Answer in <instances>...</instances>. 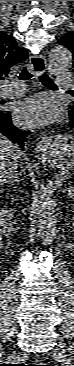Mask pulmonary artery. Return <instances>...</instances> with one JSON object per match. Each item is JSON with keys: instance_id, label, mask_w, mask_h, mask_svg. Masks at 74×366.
I'll return each instance as SVG.
<instances>
[{"instance_id": "obj_1", "label": "pulmonary artery", "mask_w": 74, "mask_h": 366, "mask_svg": "<svg viewBox=\"0 0 74 366\" xmlns=\"http://www.w3.org/2000/svg\"><path fill=\"white\" fill-rule=\"evenodd\" d=\"M56 78L58 88L66 89L73 86V78L70 74L66 72H57ZM24 90V85L9 83L6 87L2 89V95L4 97L11 98L22 94Z\"/></svg>"}]
</instances>
